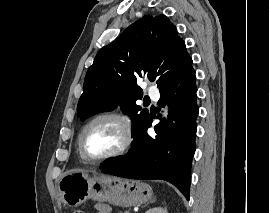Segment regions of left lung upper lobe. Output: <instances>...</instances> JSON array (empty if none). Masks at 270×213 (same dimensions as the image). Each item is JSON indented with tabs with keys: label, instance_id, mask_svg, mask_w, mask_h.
I'll return each mask as SVG.
<instances>
[{
	"label": "left lung upper lobe",
	"instance_id": "left-lung-upper-lobe-1",
	"mask_svg": "<svg viewBox=\"0 0 270 213\" xmlns=\"http://www.w3.org/2000/svg\"><path fill=\"white\" fill-rule=\"evenodd\" d=\"M157 59L165 60L169 72L163 74ZM192 66L185 42L165 15H145L130 25L114 42L100 49L88 69L78 115L87 118L110 111L120 105L131 116L134 131L150 117L147 110L136 105L143 92L137 79L148 78L163 88Z\"/></svg>",
	"mask_w": 270,
	"mask_h": 213
}]
</instances>
